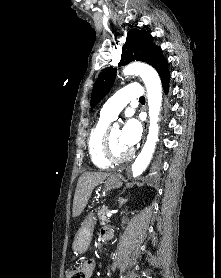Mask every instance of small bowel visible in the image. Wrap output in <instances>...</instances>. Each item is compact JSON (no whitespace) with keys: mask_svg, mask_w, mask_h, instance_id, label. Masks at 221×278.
Returning <instances> with one entry per match:
<instances>
[{"mask_svg":"<svg viewBox=\"0 0 221 278\" xmlns=\"http://www.w3.org/2000/svg\"><path fill=\"white\" fill-rule=\"evenodd\" d=\"M95 268H96V263L93 260L85 261L81 266L85 278H91L94 274Z\"/></svg>","mask_w":221,"mask_h":278,"instance_id":"small-bowel-1","label":"small bowel"}]
</instances>
